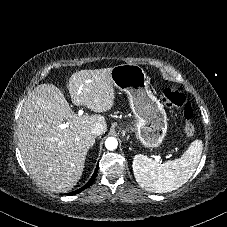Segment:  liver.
<instances>
[{"mask_svg":"<svg viewBox=\"0 0 227 227\" xmlns=\"http://www.w3.org/2000/svg\"><path fill=\"white\" fill-rule=\"evenodd\" d=\"M112 68L81 70L71 75L68 90L73 104L93 112L114 105ZM104 116H79L59 88L41 84L26 99L19 118L18 139L23 162L32 178L55 193L71 190L81 178L85 159L95 143L91 129ZM66 124V128L60 126Z\"/></svg>","mask_w":227,"mask_h":227,"instance_id":"obj_1","label":"liver"}]
</instances>
